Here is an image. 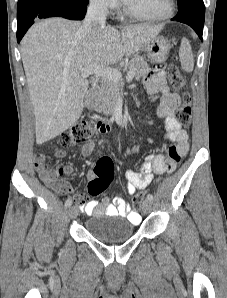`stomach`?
<instances>
[{"instance_id": "0dacf381", "label": "stomach", "mask_w": 227, "mask_h": 298, "mask_svg": "<svg viewBox=\"0 0 227 298\" xmlns=\"http://www.w3.org/2000/svg\"><path fill=\"white\" fill-rule=\"evenodd\" d=\"M170 49L169 41L163 36H156L143 46V51L153 63H163Z\"/></svg>"}]
</instances>
